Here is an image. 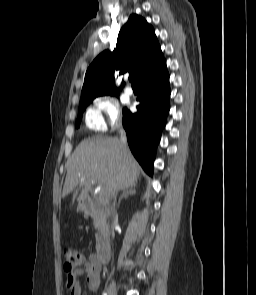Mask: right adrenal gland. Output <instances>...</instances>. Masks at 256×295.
Listing matches in <instances>:
<instances>
[{"label": "right adrenal gland", "instance_id": "1", "mask_svg": "<svg viewBox=\"0 0 256 295\" xmlns=\"http://www.w3.org/2000/svg\"><path fill=\"white\" fill-rule=\"evenodd\" d=\"M135 194V188L134 186H131L130 188L126 189L120 196L119 198V202H118V206L120 205V202L121 200L124 198V197H128L130 195H134Z\"/></svg>", "mask_w": 256, "mask_h": 295}]
</instances>
